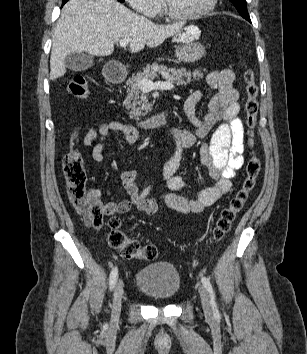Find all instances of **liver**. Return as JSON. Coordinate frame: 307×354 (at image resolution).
<instances>
[{
	"mask_svg": "<svg viewBox=\"0 0 307 354\" xmlns=\"http://www.w3.org/2000/svg\"><path fill=\"white\" fill-rule=\"evenodd\" d=\"M183 26L184 22L156 25L116 0H69L56 24L50 79L55 80L66 73L64 61L70 53L108 56L121 39H131L129 50L137 53L145 46H159Z\"/></svg>",
	"mask_w": 307,
	"mask_h": 354,
	"instance_id": "1",
	"label": "liver"
}]
</instances>
